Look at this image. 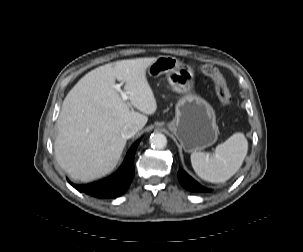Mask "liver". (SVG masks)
Segmentation results:
<instances>
[{"instance_id":"1","label":"liver","mask_w":303,"mask_h":252,"mask_svg":"<svg viewBox=\"0 0 303 252\" xmlns=\"http://www.w3.org/2000/svg\"><path fill=\"white\" fill-rule=\"evenodd\" d=\"M156 59L105 64L88 72L67 94L56 124L54 152L71 179L89 182L109 174L126 145L122 128L131 124L141 130L147 115L156 112V99L146 77ZM116 80L125 83L129 103L114 89Z\"/></svg>"}]
</instances>
